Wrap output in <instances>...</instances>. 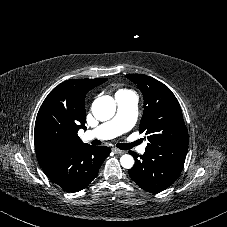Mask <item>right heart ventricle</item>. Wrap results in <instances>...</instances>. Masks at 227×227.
I'll use <instances>...</instances> for the list:
<instances>
[{
  "instance_id": "1",
  "label": "right heart ventricle",
  "mask_w": 227,
  "mask_h": 227,
  "mask_svg": "<svg viewBox=\"0 0 227 227\" xmlns=\"http://www.w3.org/2000/svg\"><path fill=\"white\" fill-rule=\"evenodd\" d=\"M130 94H135V93L128 88L119 87L115 92V98L117 99L118 97L130 95Z\"/></svg>"
}]
</instances>
